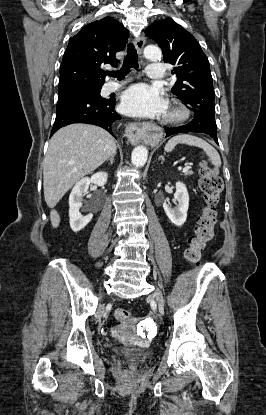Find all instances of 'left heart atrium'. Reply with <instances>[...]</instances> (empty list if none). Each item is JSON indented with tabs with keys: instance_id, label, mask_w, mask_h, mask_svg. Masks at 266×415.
<instances>
[{
	"instance_id": "left-heart-atrium-1",
	"label": "left heart atrium",
	"mask_w": 266,
	"mask_h": 415,
	"mask_svg": "<svg viewBox=\"0 0 266 415\" xmlns=\"http://www.w3.org/2000/svg\"><path fill=\"white\" fill-rule=\"evenodd\" d=\"M167 102L156 86L136 84L129 87L122 96V109L131 116L153 117L163 114Z\"/></svg>"
}]
</instances>
